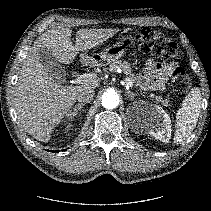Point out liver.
Listing matches in <instances>:
<instances>
[{"instance_id":"liver-1","label":"liver","mask_w":211,"mask_h":211,"mask_svg":"<svg viewBox=\"0 0 211 211\" xmlns=\"http://www.w3.org/2000/svg\"><path fill=\"white\" fill-rule=\"evenodd\" d=\"M116 29H81L76 33L75 45L71 42L70 28L56 27L34 41L12 92L13 104L23 129L33 138L48 142L53 129L76 101L80 91L99 87L100 80L93 77L78 86L56 83L39 61L38 51L50 50L56 60L70 64L79 51L91 50L116 34ZM83 65H100L93 57L80 55Z\"/></svg>"}]
</instances>
